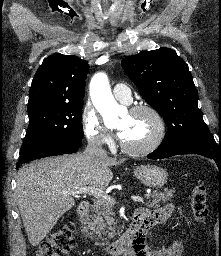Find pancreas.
<instances>
[{"instance_id":"cf45deb5","label":"pancreas","mask_w":221,"mask_h":256,"mask_svg":"<svg viewBox=\"0 0 221 256\" xmlns=\"http://www.w3.org/2000/svg\"><path fill=\"white\" fill-rule=\"evenodd\" d=\"M174 190L153 191L149 195L148 207L155 208L165 204L173 197ZM92 214L88 222V228L95 234L94 238L112 239L115 237V220L113 204L104 200H96L91 208Z\"/></svg>"}]
</instances>
